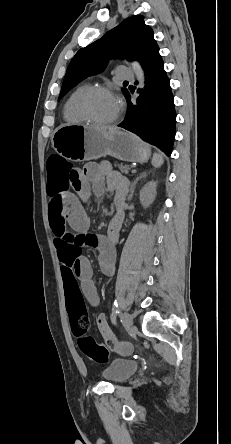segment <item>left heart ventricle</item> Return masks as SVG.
I'll list each match as a JSON object with an SVG mask.
<instances>
[{"label": "left heart ventricle", "mask_w": 231, "mask_h": 444, "mask_svg": "<svg viewBox=\"0 0 231 444\" xmlns=\"http://www.w3.org/2000/svg\"><path fill=\"white\" fill-rule=\"evenodd\" d=\"M117 99L108 93H96L88 101V110L91 116L98 121L113 118L118 112Z\"/></svg>", "instance_id": "obj_1"}]
</instances>
